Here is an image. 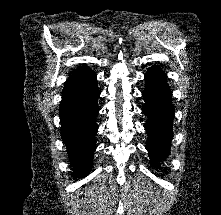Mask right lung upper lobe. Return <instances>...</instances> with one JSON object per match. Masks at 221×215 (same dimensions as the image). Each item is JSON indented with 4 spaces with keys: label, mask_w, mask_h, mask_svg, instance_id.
I'll use <instances>...</instances> for the list:
<instances>
[{
    "label": "right lung upper lobe",
    "mask_w": 221,
    "mask_h": 215,
    "mask_svg": "<svg viewBox=\"0 0 221 215\" xmlns=\"http://www.w3.org/2000/svg\"><path fill=\"white\" fill-rule=\"evenodd\" d=\"M85 69H89V68H83V67L77 68L76 70L73 71V74L77 73V72H80L82 70H85Z\"/></svg>",
    "instance_id": "right-lung-upper-lobe-1"
}]
</instances>
